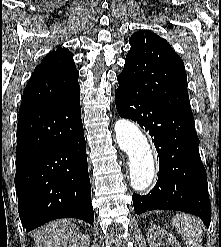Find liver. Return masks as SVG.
Wrapping results in <instances>:
<instances>
[{"mask_svg": "<svg viewBox=\"0 0 221 247\" xmlns=\"http://www.w3.org/2000/svg\"><path fill=\"white\" fill-rule=\"evenodd\" d=\"M78 232V227L68 220L53 221L34 234L35 247H61Z\"/></svg>", "mask_w": 221, "mask_h": 247, "instance_id": "6515ba94", "label": "liver"}]
</instances>
